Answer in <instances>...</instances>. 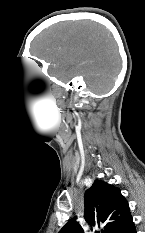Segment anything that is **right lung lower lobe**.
Wrapping results in <instances>:
<instances>
[{
  "label": "right lung lower lobe",
  "instance_id": "1",
  "mask_svg": "<svg viewBox=\"0 0 145 233\" xmlns=\"http://www.w3.org/2000/svg\"><path fill=\"white\" fill-rule=\"evenodd\" d=\"M117 233H136L134 222L132 221V217L126 223V225L120 229Z\"/></svg>",
  "mask_w": 145,
  "mask_h": 233
}]
</instances>
